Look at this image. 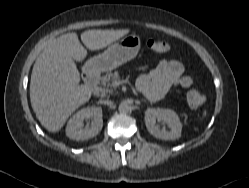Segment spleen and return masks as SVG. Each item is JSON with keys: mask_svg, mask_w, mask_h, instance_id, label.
<instances>
[{"mask_svg": "<svg viewBox=\"0 0 249 188\" xmlns=\"http://www.w3.org/2000/svg\"><path fill=\"white\" fill-rule=\"evenodd\" d=\"M205 116H206V111L203 112V117H205Z\"/></svg>", "mask_w": 249, "mask_h": 188, "instance_id": "obj_1", "label": "spleen"}]
</instances>
